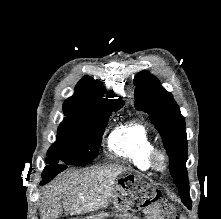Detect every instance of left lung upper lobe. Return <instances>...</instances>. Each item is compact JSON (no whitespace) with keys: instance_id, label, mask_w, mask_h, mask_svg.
I'll return each mask as SVG.
<instances>
[{"instance_id":"obj_1","label":"left lung upper lobe","mask_w":221,"mask_h":219,"mask_svg":"<svg viewBox=\"0 0 221 219\" xmlns=\"http://www.w3.org/2000/svg\"><path fill=\"white\" fill-rule=\"evenodd\" d=\"M135 106L144 110L159 131L169 155L170 174L187 208H191L187 170V139L184 117L171 93L148 71L139 72L135 79Z\"/></svg>"}]
</instances>
